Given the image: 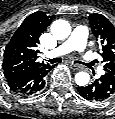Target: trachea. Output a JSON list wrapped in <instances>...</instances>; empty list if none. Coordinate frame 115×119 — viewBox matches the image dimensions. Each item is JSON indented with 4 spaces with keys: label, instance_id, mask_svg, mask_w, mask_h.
Wrapping results in <instances>:
<instances>
[{
    "label": "trachea",
    "instance_id": "3493384b",
    "mask_svg": "<svg viewBox=\"0 0 115 119\" xmlns=\"http://www.w3.org/2000/svg\"><path fill=\"white\" fill-rule=\"evenodd\" d=\"M61 58L60 57H56V58H53V59H50V60H47V61H49L51 64H54V63H59V62H61ZM75 63H80V64H83V65H85V66H88L89 67V65L90 64H88V63H83V62H80V61H75Z\"/></svg>",
    "mask_w": 115,
    "mask_h": 119
}]
</instances>
